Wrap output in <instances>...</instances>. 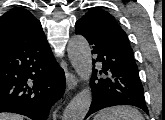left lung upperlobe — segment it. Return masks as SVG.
I'll return each instance as SVG.
<instances>
[{"label": "left lung upper lobe", "mask_w": 165, "mask_h": 120, "mask_svg": "<svg viewBox=\"0 0 165 120\" xmlns=\"http://www.w3.org/2000/svg\"><path fill=\"white\" fill-rule=\"evenodd\" d=\"M81 19L96 33L117 44L133 56V50L128 43L126 33L108 12L99 8H92Z\"/></svg>", "instance_id": "5c2ea615"}]
</instances>
